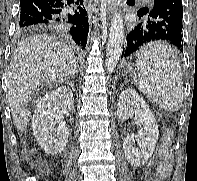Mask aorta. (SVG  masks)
<instances>
[{
    "mask_svg": "<svg viewBox=\"0 0 197 181\" xmlns=\"http://www.w3.org/2000/svg\"><path fill=\"white\" fill-rule=\"evenodd\" d=\"M124 43V25L120 11H115L111 21L107 44L105 66L108 73H112L122 54Z\"/></svg>",
    "mask_w": 197,
    "mask_h": 181,
    "instance_id": "762f6f07",
    "label": "aorta"
}]
</instances>
